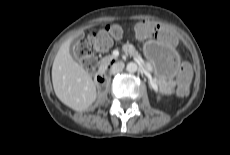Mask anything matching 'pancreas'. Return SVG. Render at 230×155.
I'll return each instance as SVG.
<instances>
[{
  "label": "pancreas",
  "instance_id": "pancreas-1",
  "mask_svg": "<svg viewBox=\"0 0 230 155\" xmlns=\"http://www.w3.org/2000/svg\"><path fill=\"white\" fill-rule=\"evenodd\" d=\"M123 50L127 53H129L131 56L134 58L141 60L140 54L136 51L134 47L129 48L128 45L123 46ZM112 60H116V58L113 55L106 56L104 57L101 62L102 63H107ZM162 90L165 94L170 95L174 92V82L172 80L168 81L163 87Z\"/></svg>",
  "mask_w": 230,
  "mask_h": 155
}]
</instances>
